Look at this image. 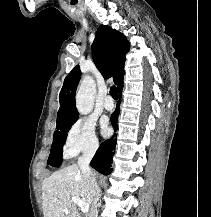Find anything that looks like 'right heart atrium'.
<instances>
[{"label": "right heart atrium", "instance_id": "right-heart-atrium-1", "mask_svg": "<svg viewBox=\"0 0 211 217\" xmlns=\"http://www.w3.org/2000/svg\"><path fill=\"white\" fill-rule=\"evenodd\" d=\"M98 146L94 124L88 119L80 118L66 134L64 153L68 157H75L80 153H93Z\"/></svg>", "mask_w": 211, "mask_h": 217}]
</instances>
